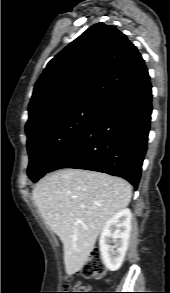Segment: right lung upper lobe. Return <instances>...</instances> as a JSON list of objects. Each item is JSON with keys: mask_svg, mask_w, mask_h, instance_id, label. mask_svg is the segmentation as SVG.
Returning <instances> with one entry per match:
<instances>
[{"mask_svg": "<svg viewBox=\"0 0 170 293\" xmlns=\"http://www.w3.org/2000/svg\"><path fill=\"white\" fill-rule=\"evenodd\" d=\"M147 74L127 37L114 26L97 23L48 63L35 84L25 130L76 105H101Z\"/></svg>", "mask_w": 170, "mask_h": 293, "instance_id": "right-lung-upper-lobe-1", "label": "right lung upper lobe"}]
</instances>
